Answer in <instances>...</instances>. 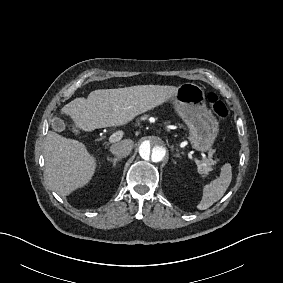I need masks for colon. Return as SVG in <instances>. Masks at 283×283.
Instances as JSON below:
<instances>
[{
	"label": "colon",
	"mask_w": 283,
	"mask_h": 283,
	"mask_svg": "<svg viewBox=\"0 0 283 283\" xmlns=\"http://www.w3.org/2000/svg\"><path fill=\"white\" fill-rule=\"evenodd\" d=\"M208 102L211 108V112L219 119H224L228 115V109L225 103L214 93L208 95ZM72 133L76 134L77 131L74 128L70 129Z\"/></svg>",
	"instance_id": "5ec220e1"
}]
</instances>
